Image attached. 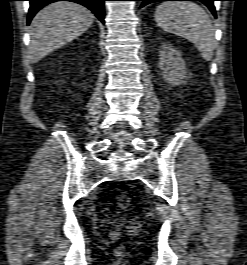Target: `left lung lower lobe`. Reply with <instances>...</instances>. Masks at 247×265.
<instances>
[{
    "label": "left lung lower lobe",
    "mask_w": 247,
    "mask_h": 265,
    "mask_svg": "<svg viewBox=\"0 0 247 265\" xmlns=\"http://www.w3.org/2000/svg\"><path fill=\"white\" fill-rule=\"evenodd\" d=\"M137 1H142L141 7H144L150 3L153 2H157V1H170V0H137ZM186 1H200L202 3H204L212 12V14L216 17V11H215V7H214V1L217 0H186Z\"/></svg>",
    "instance_id": "left-lung-lower-lobe-1"
}]
</instances>
